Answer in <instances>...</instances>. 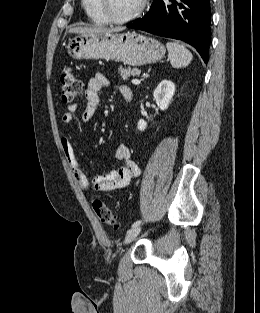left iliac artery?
<instances>
[{"label": "left iliac artery", "mask_w": 260, "mask_h": 313, "mask_svg": "<svg viewBox=\"0 0 260 313\" xmlns=\"http://www.w3.org/2000/svg\"><path fill=\"white\" fill-rule=\"evenodd\" d=\"M140 223H141V220H137L136 222H134V223L132 224V228H133V227H136V226H139Z\"/></svg>", "instance_id": "obj_1"}]
</instances>
